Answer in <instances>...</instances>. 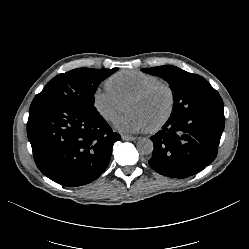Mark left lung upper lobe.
<instances>
[{
    "instance_id": "obj_1",
    "label": "left lung upper lobe",
    "mask_w": 249,
    "mask_h": 249,
    "mask_svg": "<svg viewBox=\"0 0 249 249\" xmlns=\"http://www.w3.org/2000/svg\"><path fill=\"white\" fill-rule=\"evenodd\" d=\"M144 73L159 76L169 83L174 105L170 118H180L200 110L223 108L218 92L203 77L172 65L141 69Z\"/></svg>"
}]
</instances>
